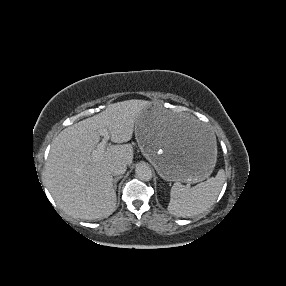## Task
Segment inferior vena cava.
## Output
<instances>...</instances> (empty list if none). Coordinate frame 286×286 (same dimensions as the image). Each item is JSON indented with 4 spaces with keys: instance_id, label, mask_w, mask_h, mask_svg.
<instances>
[{
    "instance_id": "obj_1",
    "label": "inferior vena cava",
    "mask_w": 286,
    "mask_h": 286,
    "mask_svg": "<svg viewBox=\"0 0 286 286\" xmlns=\"http://www.w3.org/2000/svg\"><path fill=\"white\" fill-rule=\"evenodd\" d=\"M126 164L123 162H115L110 166V172L114 176L122 175L126 172Z\"/></svg>"
}]
</instances>
